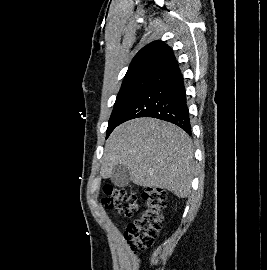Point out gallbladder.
Listing matches in <instances>:
<instances>
[{
  "label": "gallbladder",
  "mask_w": 267,
  "mask_h": 270,
  "mask_svg": "<svg viewBox=\"0 0 267 270\" xmlns=\"http://www.w3.org/2000/svg\"><path fill=\"white\" fill-rule=\"evenodd\" d=\"M111 181L117 187H127L131 181L129 169L123 165H116L112 170Z\"/></svg>",
  "instance_id": "1"
}]
</instances>
